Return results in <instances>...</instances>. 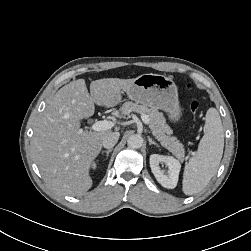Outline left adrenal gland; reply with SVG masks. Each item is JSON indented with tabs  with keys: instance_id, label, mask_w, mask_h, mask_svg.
I'll list each match as a JSON object with an SVG mask.
<instances>
[{
	"instance_id": "left-adrenal-gland-1",
	"label": "left adrenal gland",
	"mask_w": 251,
	"mask_h": 251,
	"mask_svg": "<svg viewBox=\"0 0 251 251\" xmlns=\"http://www.w3.org/2000/svg\"><path fill=\"white\" fill-rule=\"evenodd\" d=\"M149 145H155L156 147H159V145L152 140V138L148 137Z\"/></svg>"
}]
</instances>
